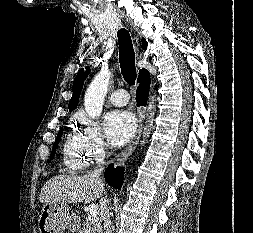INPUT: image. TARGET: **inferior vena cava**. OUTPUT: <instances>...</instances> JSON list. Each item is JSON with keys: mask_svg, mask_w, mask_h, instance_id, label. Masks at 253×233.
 Returning <instances> with one entry per match:
<instances>
[{"mask_svg": "<svg viewBox=\"0 0 253 233\" xmlns=\"http://www.w3.org/2000/svg\"><path fill=\"white\" fill-rule=\"evenodd\" d=\"M103 169H104V167L99 166L91 173V175L94 178H96L97 180L101 181L100 175H101ZM104 194H105V192H104ZM100 205H101V217L103 220L105 233H112L113 226H112L111 219H110L111 215L109 213V207L107 205V201H106L105 197L101 198Z\"/></svg>", "mask_w": 253, "mask_h": 233, "instance_id": "1", "label": "inferior vena cava"}]
</instances>
